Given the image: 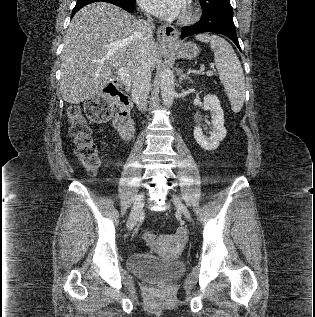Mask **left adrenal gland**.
I'll list each match as a JSON object with an SVG mask.
<instances>
[{"mask_svg": "<svg viewBox=\"0 0 315 317\" xmlns=\"http://www.w3.org/2000/svg\"><path fill=\"white\" fill-rule=\"evenodd\" d=\"M177 73H178V76H179V83H181V81L183 79H188L189 82L192 83L191 78L183 73V69L179 68Z\"/></svg>", "mask_w": 315, "mask_h": 317, "instance_id": "1", "label": "left adrenal gland"}]
</instances>
